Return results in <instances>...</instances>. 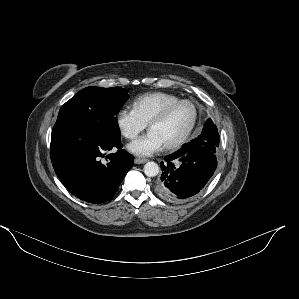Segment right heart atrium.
I'll use <instances>...</instances> for the list:
<instances>
[{
	"label": "right heart atrium",
	"mask_w": 299,
	"mask_h": 299,
	"mask_svg": "<svg viewBox=\"0 0 299 299\" xmlns=\"http://www.w3.org/2000/svg\"><path fill=\"white\" fill-rule=\"evenodd\" d=\"M115 123L120 134L128 139H135L147 124L141 120L132 108H121L115 116Z\"/></svg>",
	"instance_id": "right-heart-atrium-1"
}]
</instances>
